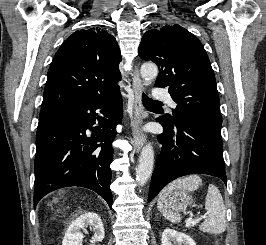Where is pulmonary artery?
<instances>
[{"instance_id":"obj_1","label":"pulmonary artery","mask_w":266,"mask_h":245,"mask_svg":"<svg viewBox=\"0 0 266 245\" xmlns=\"http://www.w3.org/2000/svg\"><path fill=\"white\" fill-rule=\"evenodd\" d=\"M155 95H157V101H167V91H157L155 92ZM168 104L172 108H176V103L173 100H168Z\"/></svg>"}]
</instances>
